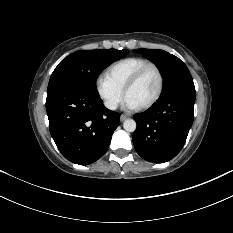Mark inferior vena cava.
<instances>
[{"mask_svg":"<svg viewBox=\"0 0 233 233\" xmlns=\"http://www.w3.org/2000/svg\"><path fill=\"white\" fill-rule=\"evenodd\" d=\"M105 106L108 109L115 110L117 108V103L116 102H106Z\"/></svg>","mask_w":233,"mask_h":233,"instance_id":"obj_1","label":"inferior vena cava"}]
</instances>
